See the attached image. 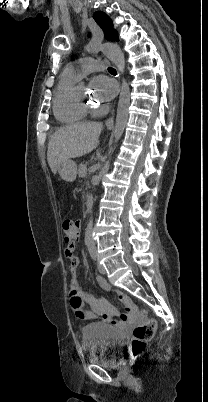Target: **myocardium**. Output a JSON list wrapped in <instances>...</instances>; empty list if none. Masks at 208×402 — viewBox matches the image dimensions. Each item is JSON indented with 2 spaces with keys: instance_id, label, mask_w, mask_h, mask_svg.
I'll return each instance as SVG.
<instances>
[{
  "instance_id": "1",
  "label": "myocardium",
  "mask_w": 208,
  "mask_h": 402,
  "mask_svg": "<svg viewBox=\"0 0 208 402\" xmlns=\"http://www.w3.org/2000/svg\"><path fill=\"white\" fill-rule=\"evenodd\" d=\"M76 100H77L78 105L85 111H89V110L95 108L94 102L91 99H89V100L86 99V95L84 93L83 86H81L80 88H77Z\"/></svg>"
}]
</instances>
